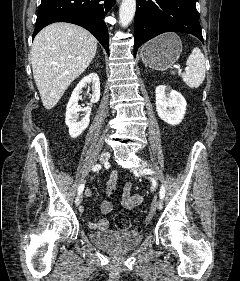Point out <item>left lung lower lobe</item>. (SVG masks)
<instances>
[{
	"mask_svg": "<svg viewBox=\"0 0 240 281\" xmlns=\"http://www.w3.org/2000/svg\"><path fill=\"white\" fill-rule=\"evenodd\" d=\"M196 0H137L134 55L148 40L164 32L189 33L203 42Z\"/></svg>",
	"mask_w": 240,
	"mask_h": 281,
	"instance_id": "obj_1",
	"label": "left lung lower lobe"
}]
</instances>
